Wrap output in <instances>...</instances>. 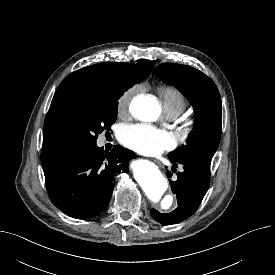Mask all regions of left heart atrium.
Masks as SVG:
<instances>
[{
	"label": "left heart atrium",
	"instance_id": "obj_1",
	"mask_svg": "<svg viewBox=\"0 0 275 275\" xmlns=\"http://www.w3.org/2000/svg\"><path fill=\"white\" fill-rule=\"evenodd\" d=\"M120 141L126 147L146 155H156L175 147L174 136L148 124L125 125L120 130Z\"/></svg>",
	"mask_w": 275,
	"mask_h": 275
}]
</instances>
